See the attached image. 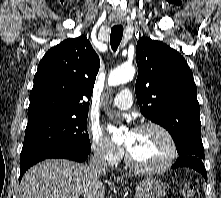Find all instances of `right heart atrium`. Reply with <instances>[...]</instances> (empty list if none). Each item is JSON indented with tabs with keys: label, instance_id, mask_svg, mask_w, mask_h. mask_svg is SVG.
Returning a JSON list of instances; mask_svg holds the SVG:
<instances>
[{
	"label": "right heart atrium",
	"instance_id": "right-heart-atrium-1",
	"mask_svg": "<svg viewBox=\"0 0 221 198\" xmlns=\"http://www.w3.org/2000/svg\"><path fill=\"white\" fill-rule=\"evenodd\" d=\"M90 146L94 156L109 165H115L122 157V150L97 130L90 132Z\"/></svg>",
	"mask_w": 221,
	"mask_h": 198
}]
</instances>
